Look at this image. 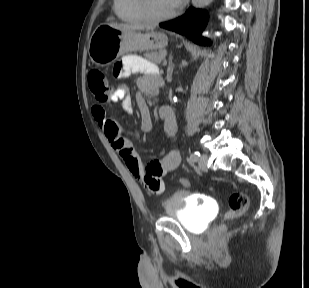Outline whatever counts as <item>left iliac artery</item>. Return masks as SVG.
Masks as SVG:
<instances>
[{
    "label": "left iliac artery",
    "instance_id": "44dca946",
    "mask_svg": "<svg viewBox=\"0 0 309 288\" xmlns=\"http://www.w3.org/2000/svg\"><path fill=\"white\" fill-rule=\"evenodd\" d=\"M200 157V153L199 151H194L191 155H190V161L195 162L199 159Z\"/></svg>",
    "mask_w": 309,
    "mask_h": 288
}]
</instances>
